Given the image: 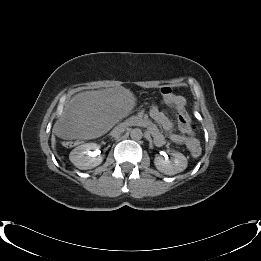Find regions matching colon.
Returning a JSON list of instances; mask_svg holds the SVG:
<instances>
[{
	"label": "colon",
	"mask_w": 261,
	"mask_h": 261,
	"mask_svg": "<svg viewBox=\"0 0 261 261\" xmlns=\"http://www.w3.org/2000/svg\"><path fill=\"white\" fill-rule=\"evenodd\" d=\"M160 94L162 97H164V101L174 108L173 114L175 117H177L178 126L181 133L186 137L191 136L193 133V130L191 128L192 121L190 119L189 113L186 112V105L183 99L176 95H170L171 91L167 87L162 88ZM70 144V142L65 143L66 146H70ZM187 148L189 150V153L193 157H197L201 153L199 144H190L189 146H187Z\"/></svg>",
	"instance_id": "1"
}]
</instances>
